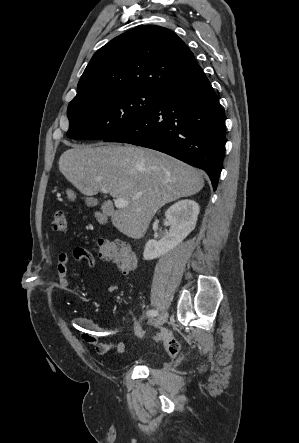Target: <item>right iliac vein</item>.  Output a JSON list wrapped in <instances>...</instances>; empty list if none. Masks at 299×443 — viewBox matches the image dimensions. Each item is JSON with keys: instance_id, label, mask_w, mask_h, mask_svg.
<instances>
[{"instance_id": "obj_1", "label": "right iliac vein", "mask_w": 299, "mask_h": 443, "mask_svg": "<svg viewBox=\"0 0 299 443\" xmlns=\"http://www.w3.org/2000/svg\"><path fill=\"white\" fill-rule=\"evenodd\" d=\"M168 319V313L163 312L161 315H159L153 322L155 327L162 326Z\"/></svg>"}]
</instances>
